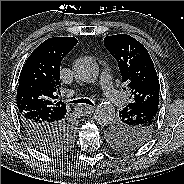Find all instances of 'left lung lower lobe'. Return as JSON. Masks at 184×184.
<instances>
[{
    "mask_svg": "<svg viewBox=\"0 0 184 184\" xmlns=\"http://www.w3.org/2000/svg\"><path fill=\"white\" fill-rule=\"evenodd\" d=\"M150 105L153 106V107H158L159 101L158 100H152Z\"/></svg>",
    "mask_w": 184,
    "mask_h": 184,
    "instance_id": "0a47b994",
    "label": "left lung lower lobe"
}]
</instances>
